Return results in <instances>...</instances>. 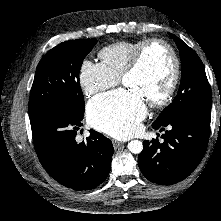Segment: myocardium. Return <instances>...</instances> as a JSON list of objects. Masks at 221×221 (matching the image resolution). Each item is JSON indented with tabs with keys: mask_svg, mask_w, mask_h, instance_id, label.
I'll list each match as a JSON object with an SVG mask.
<instances>
[{
	"mask_svg": "<svg viewBox=\"0 0 221 221\" xmlns=\"http://www.w3.org/2000/svg\"><path fill=\"white\" fill-rule=\"evenodd\" d=\"M153 45H160L164 47L167 50L171 60V72H170L169 82L168 85L166 86L165 91L158 98L147 102V104L150 107H161L167 104L168 101L172 98L178 83L179 72H180V62L178 56L174 48L171 46V44L165 41L164 39L149 38L144 40L136 48L129 64L124 69L121 75V82L123 83L128 76H130L139 68L144 53L147 51L148 48H150Z\"/></svg>",
	"mask_w": 221,
	"mask_h": 221,
	"instance_id": "myocardium-1",
	"label": "myocardium"
}]
</instances>
